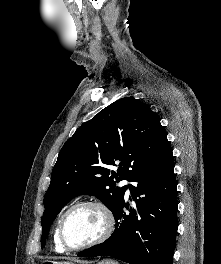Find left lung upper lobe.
<instances>
[{
    "label": "left lung upper lobe",
    "mask_w": 221,
    "mask_h": 264,
    "mask_svg": "<svg viewBox=\"0 0 221 264\" xmlns=\"http://www.w3.org/2000/svg\"><path fill=\"white\" fill-rule=\"evenodd\" d=\"M167 134L149 106L133 97L121 98L79 127L62 147L44 196L42 247L60 210L81 194L99 198L112 212L126 186L157 156ZM119 164L117 172L111 165Z\"/></svg>",
    "instance_id": "1"
}]
</instances>
